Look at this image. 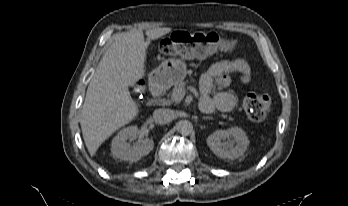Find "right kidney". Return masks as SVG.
I'll return each mask as SVG.
<instances>
[{
    "label": "right kidney",
    "instance_id": "right-kidney-1",
    "mask_svg": "<svg viewBox=\"0 0 348 206\" xmlns=\"http://www.w3.org/2000/svg\"><path fill=\"white\" fill-rule=\"evenodd\" d=\"M139 137L137 126H128L113 138L111 144V152L113 156L120 160L136 162L143 156L149 154L154 147L151 139H144L131 147L128 141L135 140Z\"/></svg>",
    "mask_w": 348,
    "mask_h": 206
}]
</instances>
